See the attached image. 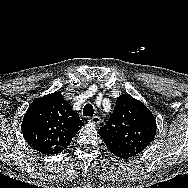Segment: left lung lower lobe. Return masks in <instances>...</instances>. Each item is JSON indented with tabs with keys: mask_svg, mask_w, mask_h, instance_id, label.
<instances>
[{
	"mask_svg": "<svg viewBox=\"0 0 188 188\" xmlns=\"http://www.w3.org/2000/svg\"><path fill=\"white\" fill-rule=\"evenodd\" d=\"M108 147V149L113 153L115 154L117 157H120V158H127L125 155L119 153L116 149H114L113 147H110L109 145H106Z\"/></svg>",
	"mask_w": 188,
	"mask_h": 188,
	"instance_id": "obj_1",
	"label": "left lung lower lobe"
}]
</instances>
